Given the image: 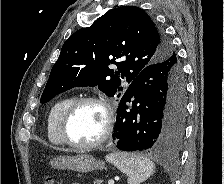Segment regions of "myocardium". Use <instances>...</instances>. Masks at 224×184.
<instances>
[{
	"label": "myocardium",
	"mask_w": 224,
	"mask_h": 184,
	"mask_svg": "<svg viewBox=\"0 0 224 184\" xmlns=\"http://www.w3.org/2000/svg\"><path fill=\"white\" fill-rule=\"evenodd\" d=\"M85 103H93L99 105L104 111L105 122L103 126V132L97 140L91 143L82 144L77 143L70 138L68 133V124L75 110L80 105ZM114 124H115V113L109 101L103 97L86 95L73 99L72 102L67 106L60 119L59 131L65 144H68L69 146L79 150H90L101 146L110 138L114 129Z\"/></svg>",
	"instance_id": "f54148a6"
}]
</instances>
